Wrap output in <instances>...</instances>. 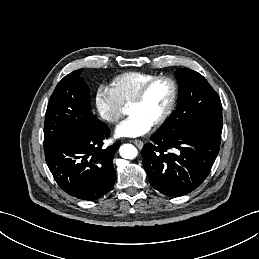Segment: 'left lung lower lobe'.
Wrapping results in <instances>:
<instances>
[{
    "instance_id": "obj_1",
    "label": "left lung lower lobe",
    "mask_w": 259,
    "mask_h": 259,
    "mask_svg": "<svg viewBox=\"0 0 259 259\" xmlns=\"http://www.w3.org/2000/svg\"><path fill=\"white\" fill-rule=\"evenodd\" d=\"M221 131L215 125L203 124L181 136L152 135L142 149L152 187L178 197L200 186L218 155Z\"/></svg>"
}]
</instances>
